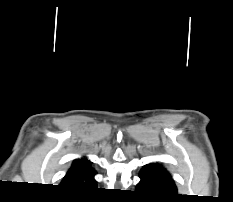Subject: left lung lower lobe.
Wrapping results in <instances>:
<instances>
[{
	"instance_id": "obj_1",
	"label": "left lung lower lobe",
	"mask_w": 233,
	"mask_h": 202,
	"mask_svg": "<svg viewBox=\"0 0 233 202\" xmlns=\"http://www.w3.org/2000/svg\"><path fill=\"white\" fill-rule=\"evenodd\" d=\"M136 186V192L151 202H170L177 195V188L172 177L159 173L152 168H143Z\"/></svg>"
}]
</instances>
